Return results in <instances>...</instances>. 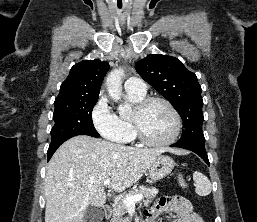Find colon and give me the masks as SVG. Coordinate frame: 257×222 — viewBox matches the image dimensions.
Returning a JSON list of instances; mask_svg holds the SVG:
<instances>
[{
  "instance_id": "obj_1",
  "label": "colon",
  "mask_w": 257,
  "mask_h": 222,
  "mask_svg": "<svg viewBox=\"0 0 257 222\" xmlns=\"http://www.w3.org/2000/svg\"><path fill=\"white\" fill-rule=\"evenodd\" d=\"M178 184H179L180 188H182L184 190L187 189V187H188V183L183 176L178 177Z\"/></svg>"
}]
</instances>
